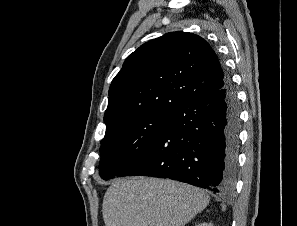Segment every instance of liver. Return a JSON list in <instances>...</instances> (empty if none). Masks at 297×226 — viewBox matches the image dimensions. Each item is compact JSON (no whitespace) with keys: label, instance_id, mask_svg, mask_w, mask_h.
<instances>
[{"label":"liver","instance_id":"1","mask_svg":"<svg viewBox=\"0 0 297 226\" xmlns=\"http://www.w3.org/2000/svg\"><path fill=\"white\" fill-rule=\"evenodd\" d=\"M197 187L153 177L116 179L102 206L105 226H185L209 204Z\"/></svg>","mask_w":297,"mask_h":226}]
</instances>
